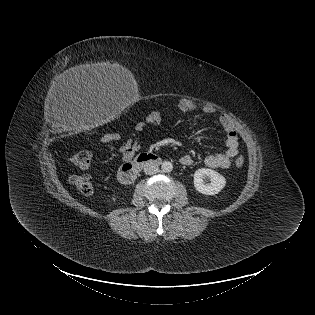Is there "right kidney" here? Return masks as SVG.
<instances>
[{"label":"right kidney","instance_id":"ca27d5eb","mask_svg":"<svg viewBox=\"0 0 315 315\" xmlns=\"http://www.w3.org/2000/svg\"><path fill=\"white\" fill-rule=\"evenodd\" d=\"M111 200H112L113 202H115V201H116V198H115V197H113Z\"/></svg>","mask_w":315,"mask_h":315}]
</instances>
